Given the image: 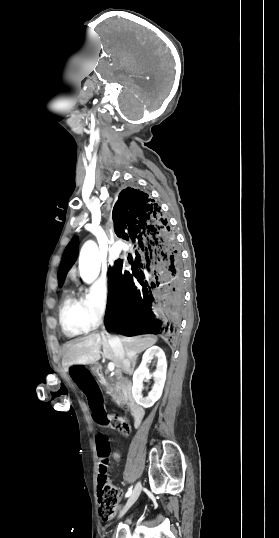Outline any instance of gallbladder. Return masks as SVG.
Returning <instances> with one entry per match:
<instances>
[{
    "instance_id": "obj_1",
    "label": "gallbladder",
    "mask_w": 279,
    "mask_h": 538,
    "mask_svg": "<svg viewBox=\"0 0 279 538\" xmlns=\"http://www.w3.org/2000/svg\"><path fill=\"white\" fill-rule=\"evenodd\" d=\"M119 384L120 385H125L126 384V379L125 378H120L119 379Z\"/></svg>"
}]
</instances>
